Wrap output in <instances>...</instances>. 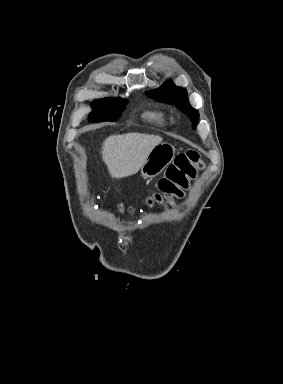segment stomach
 I'll list each match as a JSON object with an SVG mask.
<instances>
[{
    "label": "stomach",
    "instance_id": "obj_1",
    "mask_svg": "<svg viewBox=\"0 0 283 384\" xmlns=\"http://www.w3.org/2000/svg\"><path fill=\"white\" fill-rule=\"evenodd\" d=\"M175 148L171 144H157L155 148H152L150 154H148L142 168L141 176L143 178H155L163 172L164 168H167L174 160Z\"/></svg>",
    "mask_w": 283,
    "mask_h": 384
}]
</instances>
